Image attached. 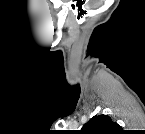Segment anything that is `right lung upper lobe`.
<instances>
[{
	"label": "right lung upper lobe",
	"mask_w": 145,
	"mask_h": 134,
	"mask_svg": "<svg viewBox=\"0 0 145 134\" xmlns=\"http://www.w3.org/2000/svg\"><path fill=\"white\" fill-rule=\"evenodd\" d=\"M121 127L107 115L92 117L82 128L79 134H117Z\"/></svg>",
	"instance_id": "cb5924a9"
}]
</instances>
